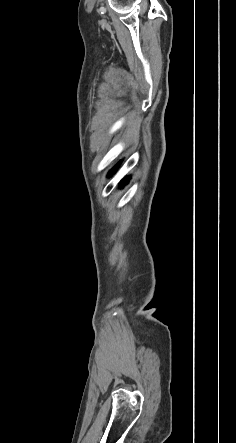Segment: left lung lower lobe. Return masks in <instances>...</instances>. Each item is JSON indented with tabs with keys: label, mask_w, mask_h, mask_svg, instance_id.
Returning <instances> with one entry per match:
<instances>
[{
	"label": "left lung lower lobe",
	"mask_w": 236,
	"mask_h": 443,
	"mask_svg": "<svg viewBox=\"0 0 236 443\" xmlns=\"http://www.w3.org/2000/svg\"><path fill=\"white\" fill-rule=\"evenodd\" d=\"M118 165H119V164H117V165L114 167V169H112V170L109 172V174H112L113 171H115V169L118 167ZM127 182H128V178H125V179L121 182V184L123 185V184H126Z\"/></svg>",
	"instance_id": "0a47b994"
}]
</instances>
